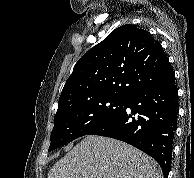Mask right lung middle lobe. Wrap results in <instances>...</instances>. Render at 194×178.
<instances>
[{
	"mask_svg": "<svg viewBox=\"0 0 194 178\" xmlns=\"http://www.w3.org/2000/svg\"><path fill=\"white\" fill-rule=\"evenodd\" d=\"M127 99L116 96H98L58 109L54 117V128L51 132V144L48 151L87 135L118 112Z\"/></svg>",
	"mask_w": 194,
	"mask_h": 178,
	"instance_id": "1",
	"label": "right lung middle lobe"
}]
</instances>
